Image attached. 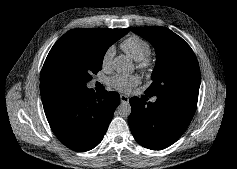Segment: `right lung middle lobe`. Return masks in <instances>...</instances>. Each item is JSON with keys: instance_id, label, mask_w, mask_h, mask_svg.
Masks as SVG:
<instances>
[{"instance_id": "dd1d6c3e", "label": "right lung middle lobe", "mask_w": 237, "mask_h": 169, "mask_svg": "<svg viewBox=\"0 0 237 169\" xmlns=\"http://www.w3.org/2000/svg\"><path fill=\"white\" fill-rule=\"evenodd\" d=\"M102 43L80 35H63L50 50L43 65L40 83L57 88L85 87L102 69L103 57L114 42Z\"/></svg>"}]
</instances>
